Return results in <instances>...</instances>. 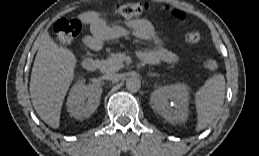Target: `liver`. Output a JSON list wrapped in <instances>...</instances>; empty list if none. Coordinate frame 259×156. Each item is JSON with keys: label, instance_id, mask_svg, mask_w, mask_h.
Returning a JSON list of instances; mask_svg holds the SVG:
<instances>
[{"label": "liver", "instance_id": "obj_1", "mask_svg": "<svg viewBox=\"0 0 259 156\" xmlns=\"http://www.w3.org/2000/svg\"><path fill=\"white\" fill-rule=\"evenodd\" d=\"M76 57L67 48L59 47L45 32L32 68L30 97L39 117L52 128H59L63 101L74 80Z\"/></svg>", "mask_w": 259, "mask_h": 156}]
</instances>
